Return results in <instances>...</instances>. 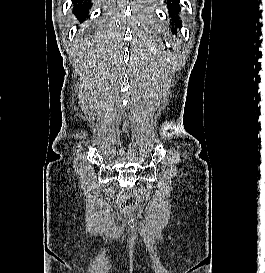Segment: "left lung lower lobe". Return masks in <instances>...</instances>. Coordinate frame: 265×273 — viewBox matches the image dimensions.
<instances>
[{
  "instance_id": "1",
  "label": "left lung lower lobe",
  "mask_w": 265,
  "mask_h": 273,
  "mask_svg": "<svg viewBox=\"0 0 265 273\" xmlns=\"http://www.w3.org/2000/svg\"><path fill=\"white\" fill-rule=\"evenodd\" d=\"M180 0H172V3L170 0H167V8L169 9V17H173L172 19V27L171 31L176 34L175 30L177 27H179L182 24V21L179 20V11H180ZM166 2V1H165Z\"/></svg>"
}]
</instances>
